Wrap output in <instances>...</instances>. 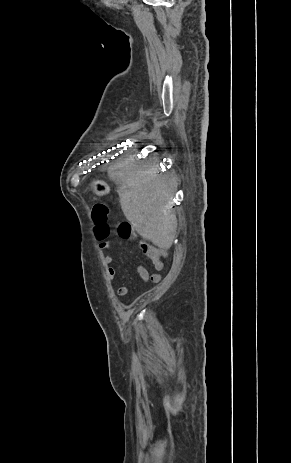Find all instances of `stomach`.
I'll return each mask as SVG.
<instances>
[{"label":"stomach","mask_w":291,"mask_h":463,"mask_svg":"<svg viewBox=\"0 0 291 463\" xmlns=\"http://www.w3.org/2000/svg\"><path fill=\"white\" fill-rule=\"evenodd\" d=\"M92 188H93V191L97 195H104V194H107L109 192L108 185L104 181H101V180H96L93 183Z\"/></svg>","instance_id":"stomach-1"}]
</instances>
